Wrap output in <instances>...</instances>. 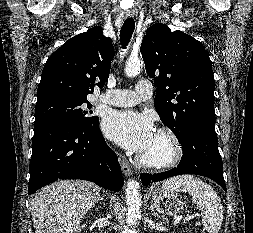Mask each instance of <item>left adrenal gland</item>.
<instances>
[{
  "label": "left adrenal gland",
  "instance_id": "a2214340",
  "mask_svg": "<svg viewBox=\"0 0 253 233\" xmlns=\"http://www.w3.org/2000/svg\"><path fill=\"white\" fill-rule=\"evenodd\" d=\"M150 213L153 215V216H157V217H159V215L154 211V207H153V205H151L150 206Z\"/></svg>",
  "mask_w": 253,
  "mask_h": 233
}]
</instances>
